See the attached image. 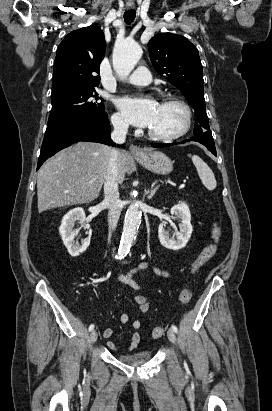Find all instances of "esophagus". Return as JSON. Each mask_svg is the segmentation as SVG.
Here are the masks:
<instances>
[{
    "label": "esophagus",
    "instance_id": "34e87169",
    "mask_svg": "<svg viewBox=\"0 0 272 411\" xmlns=\"http://www.w3.org/2000/svg\"><path fill=\"white\" fill-rule=\"evenodd\" d=\"M127 8L128 9H133V6H127ZM130 153L133 156H142L143 155V150L140 147L136 146V145H131L130 146Z\"/></svg>",
    "mask_w": 272,
    "mask_h": 411
}]
</instances>
